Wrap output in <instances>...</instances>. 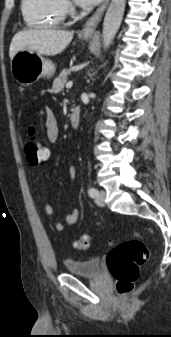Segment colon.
I'll return each instance as SVG.
<instances>
[{
    "label": "colon",
    "mask_w": 171,
    "mask_h": 337,
    "mask_svg": "<svg viewBox=\"0 0 171 337\" xmlns=\"http://www.w3.org/2000/svg\"><path fill=\"white\" fill-rule=\"evenodd\" d=\"M24 151L27 161L37 165L44 161L48 155L47 146L38 139L32 128L25 142ZM78 250H86L90 246V236L83 234L74 243ZM149 257V250L145 244L137 239H129L118 243L108 254L107 266L116 281V288L120 294H127L134 288L139 278V266Z\"/></svg>",
    "instance_id": "5ec220e1"
}]
</instances>
